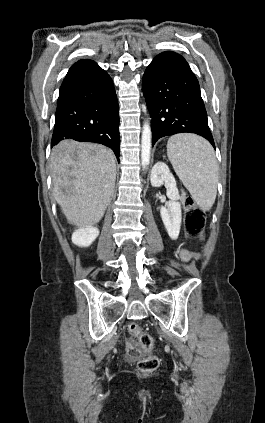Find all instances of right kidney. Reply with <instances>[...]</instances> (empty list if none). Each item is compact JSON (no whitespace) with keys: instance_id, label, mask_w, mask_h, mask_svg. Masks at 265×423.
Instances as JSON below:
<instances>
[{"instance_id":"obj_1","label":"right kidney","mask_w":265,"mask_h":423,"mask_svg":"<svg viewBox=\"0 0 265 423\" xmlns=\"http://www.w3.org/2000/svg\"><path fill=\"white\" fill-rule=\"evenodd\" d=\"M98 236L99 230L97 227L80 228L72 234V242L80 247H88Z\"/></svg>"}]
</instances>
